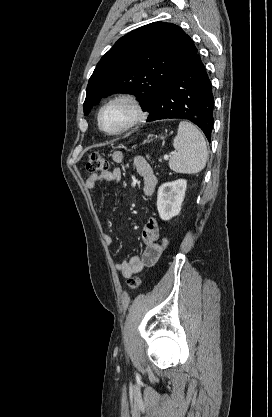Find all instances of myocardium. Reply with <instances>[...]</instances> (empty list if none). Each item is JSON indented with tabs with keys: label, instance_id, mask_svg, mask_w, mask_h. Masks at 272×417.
<instances>
[{
	"label": "myocardium",
	"instance_id": "obj_1",
	"mask_svg": "<svg viewBox=\"0 0 272 417\" xmlns=\"http://www.w3.org/2000/svg\"><path fill=\"white\" fill-rule=\"evenodd\" d=\"M119 102H123V103H126V104L130 105L131 108L133 109L134 116L123 127L119 128L117 130H114V131L107 130V129L104 128V126L102 124L103 113L109 106H111L115 103H119ZM146 116H147L146 111H145L141 101L139 100V98L136 95H134L132 93H121V94H117V95L113 96L112 98L107 100L102 105V107L100 108V110L98 112L97 122H98V127L102 132H104L105 134H107L109 136H117V135L124 134V133L136 128L137 126H139L146 119Z\"/></svg>",
	"mask_w": 272,
	"mask_h": 417
}]
</instances>
